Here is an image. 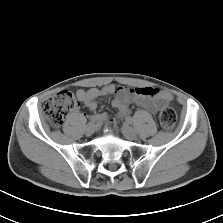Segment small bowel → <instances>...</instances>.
Wrapping results in <instances>:
<instances>
[{
	"mask_svg": "<svg viewBox=\"0 0 223 223\" xmlns=\"http://www.w3.org/2000/svg\"><path fill=\"white\" fill-rule=\"evenodd\" d=\"M114 95L112 105L118 110L114 118H108L102 112L97 114L99 121H107L116 124L120 119L130 113V104L135 103L139 107L155 113L165 103L172 100V96L165 91L152 87H116L113 84L101 88H91L88 90H78L76 96L89 110H95L97 99L100 97Z\"/></svg>",
	"mask_w": 223,
	"mask_h": 223,
	"instance_id": "c3829d8e",
	"label": "small bowel"
}]
</instances>
